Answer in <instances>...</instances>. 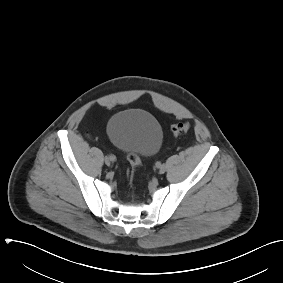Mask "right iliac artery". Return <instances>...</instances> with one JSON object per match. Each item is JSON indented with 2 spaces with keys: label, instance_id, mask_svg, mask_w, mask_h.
Returning <instances> with one entry per match:
<instances>
[{
  "label": "right iliac artery",
  "instance_id": "1",
  "mask_svg": "<svg viewBox=\"0 0 283 283\" xmlns=\"http://www.w3.org/2000/svg\"><path fill=\"white\" fill-rule=\"evenodd\" d=\"M111 158L112 161H115L116 157L114 155H110L109 156Z\"/></svg>",
  "mask_w": 283,
  "mask_h": 283
}]
</instances>
